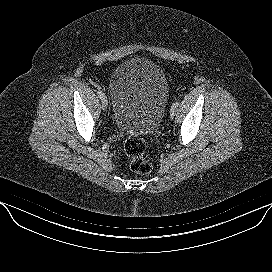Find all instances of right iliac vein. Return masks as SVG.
I'll use <instances>...</instances> for the list:
<instances>
[{
  "mask_svg": "<svg viewBox=\"0 0 272 272\" xmlns=\"http://www.w3.org/2000/svg\"><path fill=\"white\" fill-rule=\"evenodd\" d=\"M101 104H102V109L106 110L107 109V99L104 97L103 99H101Z\"/></svg>",
  "mask_w": 272,
  "mask_h": 272,
  "instance_id": "1",
  "label": "right iliac vein"
}]
</instances>
